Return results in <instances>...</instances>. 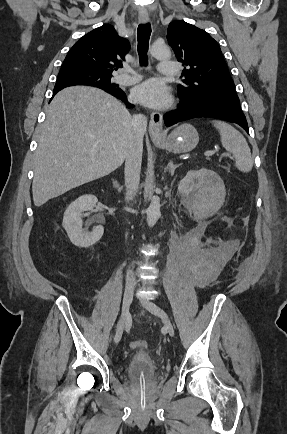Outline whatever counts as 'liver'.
I'll list each match as a JSON object with an SVG mask.
<instances>
[{"mask_svg":"<svg viewBox=\"0 0 287 434\" xmlns=\"http://www.w3.org/2000/svg\"><path fill=\"white\" fill-rule=\"evenodd\" d=\"M134 136L132 116L108 93L92 87L61 90L51 101L35 153L34 205L120 167Z\"/></svg>","mask_w":287,"mask_h":434,"instance_id":"6515ba94","label":"liver"}]
</instances>
